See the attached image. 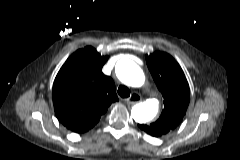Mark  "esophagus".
Returning a JSON list of instances; mask_svg holds the SVG:
<instances>
[{"mask_svg":"<svg viewBox=\"0 0 240 160\" xmlns=\"http://www.w3.org/2000/svg\"><path fill=\"white\" fill-rule=\"evenodd\" d=\"M140 101H141V95L136 92L132 93L131 96L125 100L127 104H136Z\"/></svg>","mask_w":240,"mask_h":160,"instance_id":"1","label":"esophagus"}]
</instances>
